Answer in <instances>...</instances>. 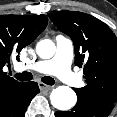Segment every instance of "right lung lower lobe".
<instances>
[{
  "instance_id": "1",
  "label": "right lung lower lobe",
  "mask_w": 117,
  "mask_h": 117,
  "mask_svg": "<svg viewBox=\"0 0 117 117\" xmlns=\"http://www.w3.org/2000/svg\"><path fill=\"white\" fill-rule=\"evenodd\" d=\"M37 93L39 87L36 82L23 83L7 100L0 103V117H24Z\"/></svg>"
}]
</instances>
